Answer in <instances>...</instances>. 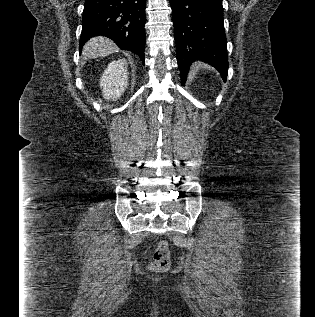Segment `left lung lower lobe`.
<instances>
[{
    "label": "left lung lower lobe",
    "instance_id": "1",
    "mask_svg": "<svg viewBox=\"0 0 315 317\" xmlns=\"http://www.w3.org/2000/svg\"><path fill=\"white\" fill-rule=\"evenodd\" d=\"M170 4L182 84L196 60L215 67L225 82L229 64L222 0H170Z\"/></svg>",
    "mask_w": 315,
    "mask_h": 317
}]
</instances>
